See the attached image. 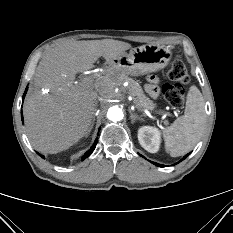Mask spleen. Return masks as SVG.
<instances>
[{
	"mask_svg": "<svg viewBox=\"0 0 233 233\" xmlns=\"http://www.w3.org/2000/svg\"><path fill=\"white\" fill-rule=\"evenodd\" d=\"M206 123L204 99L196 86H191L187 94L183 116L163 130L165 148L172 157L189 152L199 141Z\"/></svg>",
	"mask_w": 233,
	"mask_h": 233,
	"instance_id": "3e777b00",
	"label": "spleen"
}]
</instances>
